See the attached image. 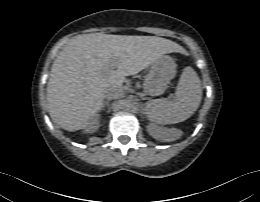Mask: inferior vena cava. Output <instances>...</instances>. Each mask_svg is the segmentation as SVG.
<instances>
[{
    "label": "inferior vena cava",
    "mask_w": 260,
    "mask_h": 202,
    "mask_svg": "<svg viewBox=\"0 0 260 202\" xmlns=\"http://www.w3.org/2000/svg\"><path fill=\"white\" fill-rule=\"evenodd\" d=\"M123 96V90L122 88L119 87H113L110 88L108 90H106L105 92V98L107 99H118L121 98Z\"/></svg>",
    "instance_id": "602c4592"
}]
</instances>
